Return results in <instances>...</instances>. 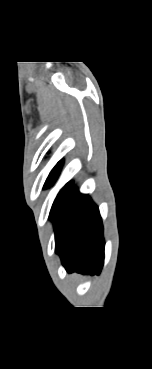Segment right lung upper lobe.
I'll return each instance as SVG.
<instances>
[{
  "label": "right lung upper lobe",
  "instance_id": "right-lung-upper-lobe-1",
  "mask_svg": "<svg viewBox=\"0 0 152 369\" xmlns=\"http://www.w3.org/2000/svg\"><path fill=\"white\" fill-rule=\"evenodd\" d=\"M63 160L59 161L57 165H62Z\"/></svg>",
  "mask_w": 152,
  "mask_h": 369
}]
</instances>
